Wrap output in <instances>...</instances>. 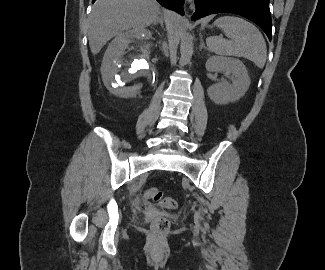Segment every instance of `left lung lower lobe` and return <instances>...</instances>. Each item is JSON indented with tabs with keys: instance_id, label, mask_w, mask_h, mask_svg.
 Instances as JSON below:
<instances>
[{
	"instance_id": "left-lung-lower-lobe-1",
	"label": "left lung lower lobe",
	"mask_w": 325,
	"mask_h": 270,
	"mask_svg": "<svg viewBox=\"0 0 325 270\" xmlns=\"http://www.w3.org/2000/svg\"><path fill=\"white\" fill-rule=\"evenodd\" d=\"M196 12L192 20L215 13H234L255 22L266 33L272 35L269 0H195Z\"/></svg>"
}]
</instances>
